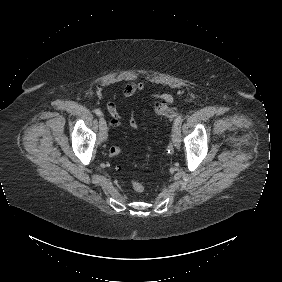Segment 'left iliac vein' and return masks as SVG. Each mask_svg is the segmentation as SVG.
Masks as SVG:
<instances>
[{
    "label": "left iliac vein",
    "instance_id": "4c4485c4",
    "mask_svg": "<svg viewBox=\"0 0 282 282\" xmlns=\"http://www.w3.org/2000/svg\"><path fill=\"white\" fill-rule=\"evenodd\" d=\"M172 142L174 144V146L176 148H178L180 146V142H181V131L179 126L175 129H173V133H172Z\"/></svg>",
    "mask_w": 282,
    "mask_h": 282
}]
</instances>
